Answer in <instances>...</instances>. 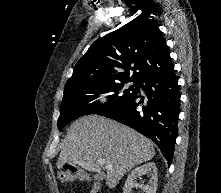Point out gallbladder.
<instances>
[{
	"instance_id": "bac80fb5",
	"label": "gallbladder",
	"mask_w": 221,
	"mask_h": 193,
	"mask_svg": "<svg viewBox=\"0 0 221 193\" xmlns=\"http://www.w3.org/2000/svg\"><path fill=\"white\" fill-rule=\"evenodd\" d=\"M104 178L103 174H98L95 176V179L102 180Z\"/></svg>"
}]
</instances>
